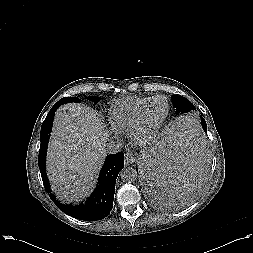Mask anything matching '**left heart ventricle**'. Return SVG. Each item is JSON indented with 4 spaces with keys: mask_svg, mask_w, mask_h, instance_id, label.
I'll use <instances>...</instances> for the list:
<instances>
[{
    "mask_svg": "<svg viewBox=\"0 0 253 253\" xmlns=\"http://www.w3.org/2000/svg\"><path fill=\"white\" fill-rule=\"evenodd\" d=\"M167 111V102L163 98L156 99L149 107L146 115V127H152L159 123Z\"/></svg>",
    "mask_w": 253,
    "mask_h": 253,
    "instance_id": "left-heart-ventricle-1",
    "label": "left heart ventricle"
}]
</instances>
